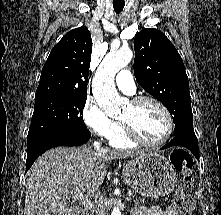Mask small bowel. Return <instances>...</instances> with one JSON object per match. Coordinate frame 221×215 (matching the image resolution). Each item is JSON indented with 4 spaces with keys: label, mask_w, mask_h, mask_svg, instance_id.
I'll return each mask as SVG.
<instances>
[{
    "label": "small bowel",
    "mask_w": 221,
    "mask_h": 215,
    "mask_svg": "<svg viewBox=\"0 0 221 215\" xmlns=\"http://www.w3.org/2000/svg\"><path fill=\"white\" fill-rule=\"evenodd\" d=\"M133 215H179V213L174 207H168L164 210L160 207H137L133 210Z\"/></svg>",
    "instance_id": "1"
}]
</instances>
